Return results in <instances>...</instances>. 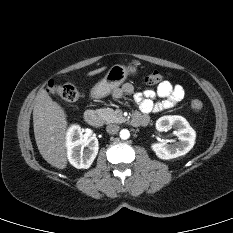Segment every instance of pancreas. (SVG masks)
<instances>
[{"label": "pancreas", "instance_id": "obj_1", "mask_svg": "<svg viewBox=\"0 0 233 233\" xmlns=\"http://www.w3.org/2000/svg\"><path fill=\"white\" fill-rule=\"evenodd\" d=\"M96 113L107 123H121L124 121L122 112L114 111L111 108L98 109Z\"/></svg>", "mask_w": 233, "mask_h": 233}]
</instances>
